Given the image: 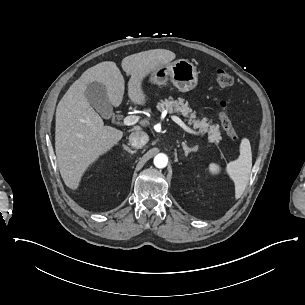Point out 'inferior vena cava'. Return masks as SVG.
Listing matches in <instances>:
<instances>
[{
    "instance_id": "inferior-vena-cava-1",
    "label": "inferior vena cava",
    "mask_w": 305,
    "mask_h": 305,
    "mask_svg": "<svg viewBox=\"0 0 305 305\" xmlns=\"http://www.w3.org/2000/svg\"><path fill=\"white\" fill-rule=\"evenodd\" d=\"M148 140V135L144 132L131 133L129 136V142L131 144V147L137 149L146 145Z\"/></svg>"
}]
</instances>
